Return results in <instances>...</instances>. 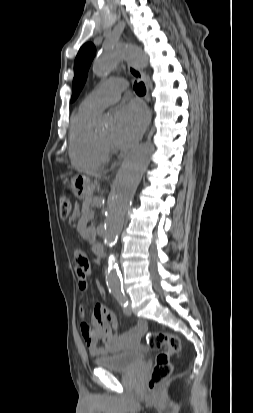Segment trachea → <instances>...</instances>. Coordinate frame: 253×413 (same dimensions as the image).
I'll return each instance as SVG.
<instances>
[{
	"label": "trachea",
	"mask_w": 253,
	"mask_h": 413,
	"mask_svg": "<svg viewBox=\"0 0 253 413\" xmlns=\"http://www.w3.org/2000/svg\"><path fill=\"white\" fill-rule=\"evenodd\" d=\"M134 90L138 95H144L146 93V88L144 83H134Z\"/></svg>",
	"instance_id": "1"
}]
</instances>
